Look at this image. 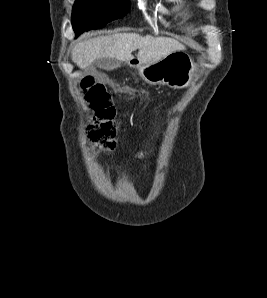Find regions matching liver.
Here are the masks:
<instances>
[{"label":"liver","instance_id":"liver-1","mask_svg":"<svg viewBox=\"0 0 267 298\" xmlns=\"http://www.w3.org/2000/svg\"><path fill=\"white\" fill-rule=\"evenodd\" d=\"M139 50L137 59L141 63L153 64L167 55L185 49L177 40L167 37H142L136 33H116L79 42L73 49L72 60L85 69L96 60L111 58L130 62L134 59L132 52Z\"/></svg>","mask_w":267,"mask_h":298}]
</instances>
